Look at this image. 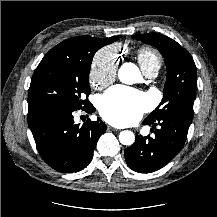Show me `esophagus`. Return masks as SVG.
<instances>
[{"instance_id": "obj_1", "label": "esophagus", "mask_w": 217, "mask_h": 217, "mask_svg": "<svg viewBox=\"0 0 217 217\" xmlns=\"http://www.w3.org/2000/svg\"><path fill=\"white\" fill-rule=\"evenodd\" d=\"M107 128H108V130H111V131H118V129H116L110 125H108Z\"/></svg>"}]
</instances>
